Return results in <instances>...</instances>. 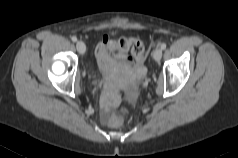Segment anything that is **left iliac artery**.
Masks as SVG:
<instances>
[{"label": "left iliac artery", "instance_id": "left-iliac-artery-1", "mask_svg": "<svg viewBox=\"0 0 238 158\" xmlns=\"http://www.w3.org/2000/svg\"><path fill=\"white\" fill-rule=\"evenodd\" d=\"M161 49H162V50H165V49H166V43H162V44H161Z\"/></svg>", "mask_w": 238, "mask_h": 158}]
</instances>
